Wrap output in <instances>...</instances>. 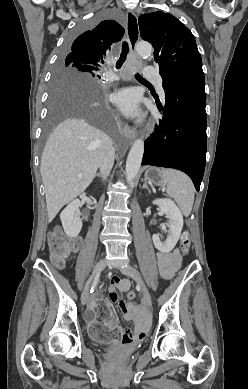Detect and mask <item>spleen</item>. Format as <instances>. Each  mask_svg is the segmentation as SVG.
I'll return each instance as SVG.
<instances>
[{"mask_svg":"<svg viewBox=\"0 0 248 389\" xmlns=\"http://www.w3.org/2000/svg\"><path fill=\"white\" fill-rule=\"evenodd\" d=\"M163 174L167 184L168 195L176 201L183 215L189 216L195 195L191 179L185 173L175 169H165Z\"/></svg>","mask_w":248,"mask_h":389,"instance_id":"spleen-1","label":"spleen"}]
</instances>
